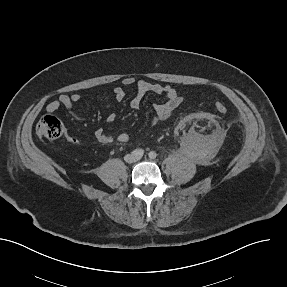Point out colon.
I'll list each match as a JSON object with an SVG mask.
<instances>
[{"mask_svg": "<svg viewBox=\"0 0 287 287\" xmlns=\"http://www.w3.org/2000/svg\"><path fill=\"white\" fill-rule=\"evenodd\" d=\"M215 111L219 114L227 112V106L222 102H216ZM36 133L43 140H54L62 136L64 133L63 122L54 115H46L42 117L36 124Z\"/></svg>", "mask_w": 287, "mask_h": 287, "instance_id": "colon-1", "label": "colon"}]
</instances>
